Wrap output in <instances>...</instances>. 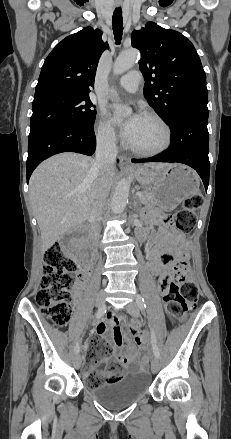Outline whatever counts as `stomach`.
<instances>
[{
    "label": "stomach",
    "mask_w": 231,
    "mask_h": 439,
    "mask_svg": "<svg viewBox=\"0 0 231 439\" xmlns=\"http://www.w3.org/2000/svg\"><path fill=\"white\" fill-rule=\"evenodd\" d=\"M133 173L137 181L150 190L156 198L155 205L162 211L174 210L199 192V176L185 165L167 164L160 169L136 166Z\"/></svg>",
    "instance_id": "1"
}]
</instances>
